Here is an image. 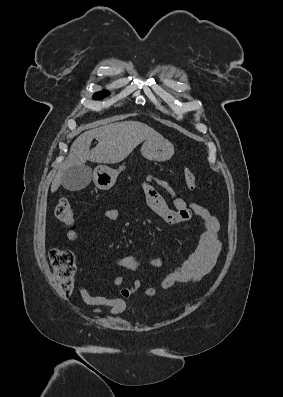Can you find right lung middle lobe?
<instances>
[{
    "instance_id": "dd1d6c3e",
    "label": "right lung middle lobe",
    "mask_w": 283,
    "mask_h": 397,
    "mask_svg": "<svg viewBox=\"0 0 283 397\" xmlns=\"http://www.w3.org/2000/svg\"><path fill=\"white\" fill-rule=\"evenodd\" d=\"M107 94H109L107 91H101V92L96 93L93 97H94V99H102V98L106 97Z\"/></svg>"
}]
</instances>
